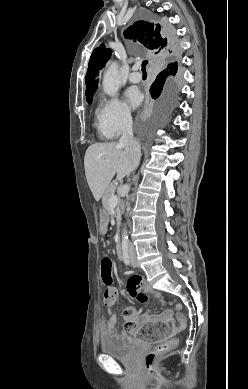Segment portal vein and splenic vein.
Masks as SVG:
<instances>
[{"label": "portal vein and splenic vein", "mask_w": 248, "mask_h": 389, "mask_svg": "<svg viewBox=\"0 0 248 389\" xmlns=\"http://www.w3.org/2000/svg\"><path fill=\"white\" fill-rule=\"evenodd\" d=\"M118 204V197L113 195L109 201L110 206H116Z\"/></svg>", "instance_id": "obj_1"}]
</instances>
